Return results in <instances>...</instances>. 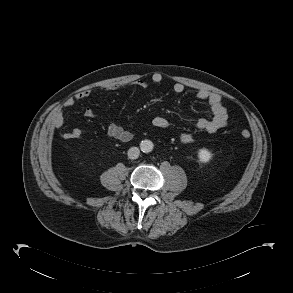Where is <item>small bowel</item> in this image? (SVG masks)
I'll list each match as a JSON object with an SVG mask.
<instances>
[{
	"mask_svg": "<svg viewBox=\"0 0 293 293\" xmlns=\"http://www.w3.org/2000/svg\"><path fill=\"white\" fill-rule=\"evenodd\" d=\"M163 77L160 73H154L151 76V82L153 84H160ZM135 86L143 91L149 89L150 84L144 79H138L134 82ZM121 86L118 84H111L103 88L105 92H112L120 90ZM185 87L182 83H175L173 85V91L177 94L183 93ZM90 90H83L78 92L74 97L67 100L65 103V108H70L75 105L78 101L86 99L90 96ZM195 97L198 100L205 101L210 109V118H201L196 123V129L200 132H206L209 134L217 132L219 129L225 127L228 122V112L223 104V100L220 94L208 91L206 89H199L195 93ZM84 116L87 118L96 117V112L92 108H86L84 111ZM65 123L64 110H55L49 118V125L54 128H61ZM152 124L157 129H167L169 127V122L163 117H156L153 119ZM107 134L109 137L115 138L121 142H128L132 139L133 134L131 131L126 130L119 124L115 122H110L107 126ZM82 135V130L80 128H74L69 132L62 135L64 139L72 140L78 139ZM180 141L183 144H189L194 141V136L191 133H182L180 135Z\"/></svg>",
	"mask_w": 293,
	"mask_h": 293,
	"instance_id": "small-bowel-1",
	"label": "small bowel"
}]
</instances>
